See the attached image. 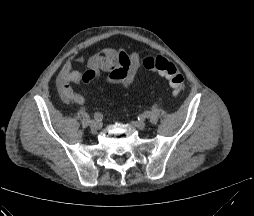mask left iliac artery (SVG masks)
I'll return each mask as SVG.
<instances>
[{
  "mask_svg": "<svg viewBox=\"0 0 254 216\" xmlns=\"http://www.w3.org/2000/svg\"><path fill=\"white\" fill-rule=\"evenodd\" d=\"M143 117L147 118V119H150L152 117V113L150 111H146V112L143 113Z\"/></svg>",
  "mask_w": 254,
  "mask_h": 216,
  "instance_id": "44dca946",
  "label": "left iliac artery"
}]
</instances>
